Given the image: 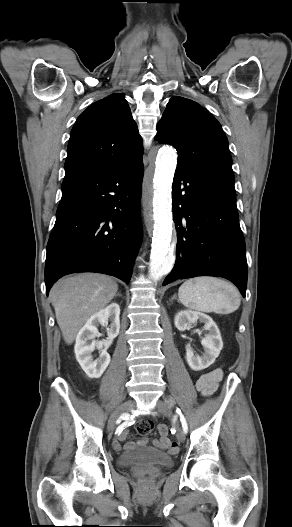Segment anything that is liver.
<instances>
[{"mask_svg": "<svg viewBox=\"0 0 292 527\" xmlns=\"http://www.w3.org/2000/svg\"><path fill=\"white\" fill-rule=\"evenodd\" d=\"M118 284L106 275L81 273L57 281L50 299L64 341L72 344L87 320L116 296Z\"/></svg>", "mask_w": 292, "mask_h": 527, "instance_id": "1", "label": "liver"}]
</instances>
